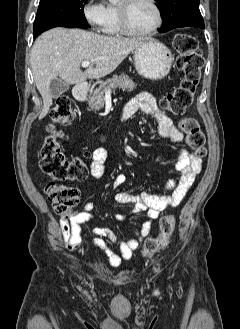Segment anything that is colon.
<instances>
[{
  "instance_id": "colon-1",
  "label": "colon",
  "mask_w": 240,
  "mask_h": 329,
  "mask_svg": "<svg viewBox=\"0 0 240 329\" xmlns=\"http://www.w3.org/2000/svg\"><path fill=\"white\" fill-rule=\"evenodd\" d=\"M173 45L178 53L177 68L182 72V78L173 91L165 95L161 105L174 115L181 116L191 106L196 88L201 77L204 56L198 47V41L189 34H176ZM54 123L68 126L75 120V112L68 96H60L51 112ZM180 129L186 136V144L198 157L206 154L205 136L195 118H182ZM51 134L45 139L40 149V168L51 177L52 182L46 185L45 191L55 211L61 217H67L71 209L79 201L77 189L61 183L65 181H81L88 175L85 156L67 158L59 147L58 133L50 127ZM176 219L166 215L160 220V232L157 236L145 241L142 255L151 257L168 246L175 228Z\"/></svg>"
}]
</instances>
